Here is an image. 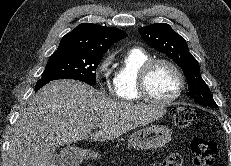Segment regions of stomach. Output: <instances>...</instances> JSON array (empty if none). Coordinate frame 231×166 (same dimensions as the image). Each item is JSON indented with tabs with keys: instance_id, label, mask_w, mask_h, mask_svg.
I'll list each match as a JSON object with an SVG mask.
<instances>
[{
	"instance_id": "stomach-1",
	"label": "stomach",
	"mask_w": 231,
	"mask_h": 166,
	"mask_svg": "<svg viewBox=\"0 0 231 166\" xmlns=\"http://www.w3.org/2000/svg\"><path fill=\"white\" fill-rule=\"evenodd\" d=\"M171 139V130L164 125H150L137 130L129 137V144L137 150L157 149L165 146ZM64 161L72 166L83 159H97L99 153L78 148H67Z\"/></svg>"
}]
</instances>
